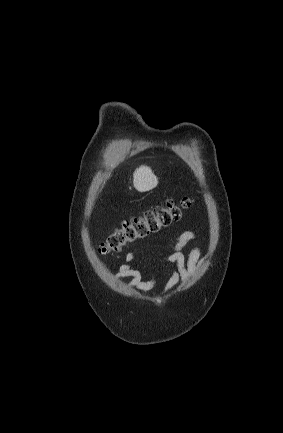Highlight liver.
<instances>
[{"instance_id":"6515ba94","label":"liver","mask_w":283,"mask_h":433,"mask_svg":"<svg viewBox=\"0 0 283 433\" xmlns=\"http://www.w3.org/2000/svg\"><path fill=\"white\" fill-rule=\"evenodd\" d=\"M133 184L136 190H140V192H146V190H151V188H155L158 184V178L155 176L154 172H152V168L150 166H139L133 172Z\"/></svg>"}]
</instances>
